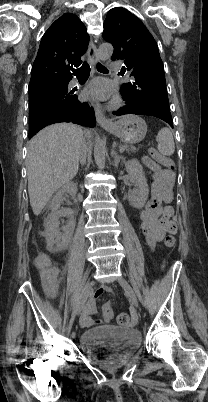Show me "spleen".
<instances>
[{
	"label": "spleen",
	"mask_w": 208,
	"mask_h": 402,
	"mask_svg": "<svg viewBox=\"0 0 208 402\" xmlns=\"http://www.w3.org/2000/svg\"><path fill=\"white\" fill-rule=\"evenodd\" d=\"M158 150L162 156H172L175 150L174 138L169 128H162L156 136Z\"/></svg>",
	"instance_id": "spleen-1"
}]
</instances>
